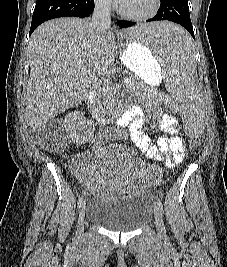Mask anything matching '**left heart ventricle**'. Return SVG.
<instances>
[{
    "label": "left heart ventricle",
    "mask_w": 227,
    "mask_h": 267,
    "mask_svg": "<svg viewBox=\"0 0 227 267\" xmlns=\"http://www.w3.org/2000/svg\"><path fill=\"white\" fill-rule=\"evenodd\" d=\"M153 0H127L122 6L132 13H145L150 10Z\"/></svg>",
    "instance_id": "obj_1"
}]
</instances>
